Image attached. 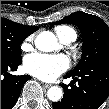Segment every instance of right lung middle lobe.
<instances>
[{
	"mask_svg": "<svg viewBox=\"0 0 109 109\" xmlns=\"http://www.w3.org/2000/svg\"><path fill=\"white\" fill-rule=\"evenodd\" d=\"M32 32L22 25L6 18L1 19V62L14 63L21 60L20 45Z\"/></svg>",
	"mask_w": 109,
	"mask_h": 109,
	"instance_id": "obj_1",
	"label": "right lung middle lobe"
}]
</instances>
